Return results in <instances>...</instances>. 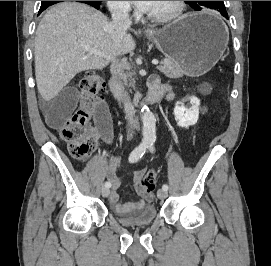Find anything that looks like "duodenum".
Returning a JSON list of instances; mask_svg holds the SVG:
<instances>
[{
    "label": "duodenum",
    "mask_w": 271,
    "mask_h": 266,
    "mask_svg": "<svg viewBox=\"0 0 271 266\" xmlns=\"http://www.w3.org/2000/svg\"><path fill=\"white\" fill-rule=\"evenodd\" d=\"M164 86L152 84V87L145 99V102L154 103L157 100H159L164 94H167L168 89ZM109 88H110L111 93L117 100H121L124 98L125 94L123 91L122 84L120 83V81L118 80L116 76L111 77L109 81Z\"/></svg>",
    "instance_id": "1"
}]
</instances>
